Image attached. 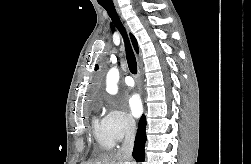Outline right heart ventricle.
<instances>
[{
	"label": "right heart ventricle",
	"mask_w": 251,
	"mask_h": 164,
	"mask_svg": "<svg viewBox=\"0 0 251 164\" xmlns=\"http://www.w3.org/2000/svg\"><path fill=\"white\" fill-rule=\"evenodd\" d=\"M93 134L100 150L108 151L114 147V140L109 135L102 120L94 118L92 122Z\"/></svg>",
	"instance_id": "right-heart-ventricle-1"
}]
</instances>
